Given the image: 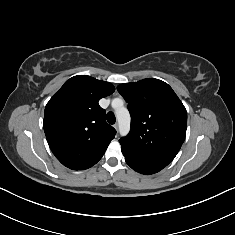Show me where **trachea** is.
Segmentation results:
<instances>
[{"label":"trachea","mask_w":235,"mask_h":235,"mask_svg":"<svg viewBox=\"0 0 235 235\" xmlns=\"http://www.w3.org/2000/svg\"><path fill=\"white\" fill-rule=\"evenodd\" d=\"M106 118L109 124H115L116 118L113 112H108Z\"/></svg>","instance_id":"3493384b"}]
</instances>
